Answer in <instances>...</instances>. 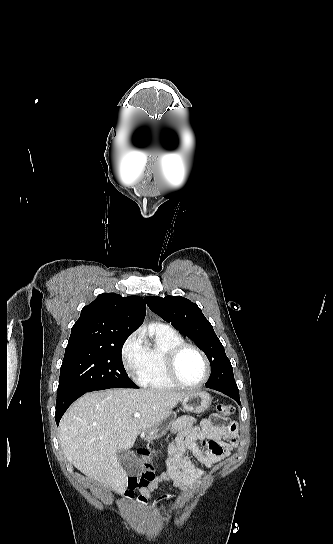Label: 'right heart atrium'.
I'll return each instance as SVG.
<instances>
[{
	"label": "right heart atrium",
	"mask_w": 333,
	"mask_h": 544,
	"mask_svg": "<svg viewBox=\"0 0 333 544\" xmlns=\"http://www.w3.org/2000/svg\"><path fill=\"white\" fill-rule=\"evenodd\" d=\"M142 341L139 332L130 334L121 347V361L126 373L136 379L140 367Z\"/></svg>",
	"instance_id": "1"
}]
</instances>
